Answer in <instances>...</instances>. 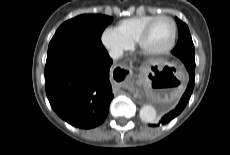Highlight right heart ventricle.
I'll list each match as a JSON object with an SVG mask.
<instances>
[{
  "label": "right heart ventricle",
  "instance_id": "obj_1",
  "mask_svg": "<svg viewBox=\"0 0 230 155\" xmlns=\"http://www.w3.org/2000/svg\"><path fill=\"white\" fill-rule=\"evenodd\" d=\"M156 15H138L121 20L115 26V30L131 44L137 38L143 27Z\"/></svg>",
  "mask_w": 230,
  "mask_h": 155
}]
</instances>
